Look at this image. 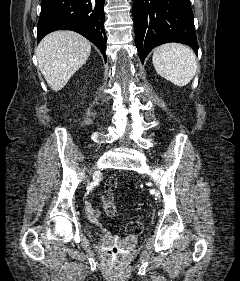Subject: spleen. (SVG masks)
Masks as SVG:
<instances>
[{
  "mask_svg": "<svg viewBox=\"0 0 240 281\" xmlns=\"http://www.w3.org/2000/svg\"><path fill=\"white\" fill-rule=\"evenodd\" d=\"M156 72L176 86H186L197 70L196 55L187 46L166 43L157 47L152 56Z\"/></svg>",
  "mask_w": 240,
  "mask_h": 281,
  "instance_id": "obj_1",
  "label": "spleen"
}]
</instances>
